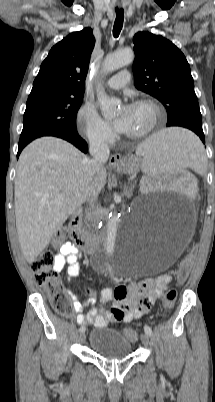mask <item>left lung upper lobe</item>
I'll use <instances>...</instances> for the list:
<instances>
[{
	"label": "left lung upper lobe",
	"mask_w": 215,
	"mask_h": 402,
	"mask_svg": "<svg viewBox=\"0 0 215 402\" xmlns=\"http://www.w3.org/2000/svg\"><path fill=\"white\" fill-rule=\"evenodd\" d=\"M134 84L166 108L167 125L182 124L202 130V116L189 64L169 40L149 32L133 38Z\"/></svg>",
	"instance_id": "5c2ea615"
}]
</instances>
